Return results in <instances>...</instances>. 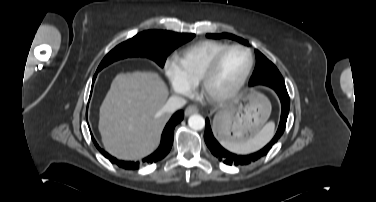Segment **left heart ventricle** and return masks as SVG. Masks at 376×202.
Wrapping results in <instances>:
<instances>
[{
	"mask_svg": "<svg viewBox=\"0 0 376 202\" xmlns=\"http://www.w3.org/2000/svg\"><path fill=\"white\" fill-rule=\"evenodd\" d=\"M249 63L248 54L241 49L230 51L214 74L210 87L222 92L232 87L243 75Z\"/></svg>",
	"mask_w": 376,
	"mask_h": 202,
	"instance_id": "1",
	"label": "left heart ventricle"
}]
</instances>
